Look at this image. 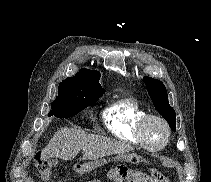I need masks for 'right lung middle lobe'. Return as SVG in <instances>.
Wrapping results in <instances>:
<instances>
[{
    "label": "right lung middle lobe",
    "mask_w": 211,
    "mask_h": 182,
    "mask_svg": "<svg viewBox=\"0 0 211 182\" xmlns=\"http://www.w3.org/2000/svg\"><path fill=\"white\" fill-rule=\"evenodd\" d=\"M58 97L51 103L49 116L69 118L93 104L105 92L93 88L77 85L63 80L58 87Z\"/></svg>",
    "instance_id": "1"
}]
</instances>
